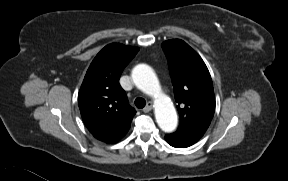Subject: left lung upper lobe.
I'll return each mask as SVG.
<instances>
[{
  "label": "left lung upper lobe",
  "instance_id": "left-lung-upper-lobe-1",
  "mask_svg": "<svg viewBox=\"0 0 288 181\" xmlns=\"http://www.w3.org/2000/svg\"><path fill=\"white\" fill-rule=\"evenodd\" d=\"M168 59L180 115L179 132H203L215 112V97L210 73L187 43L172 39L162 43Z\"/></svg>",
  "mask_w": 288,
  "mask_h": 181
}]
</instances>
